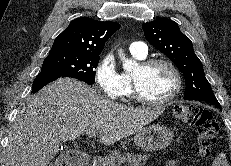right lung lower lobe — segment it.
Listing matches in <instances>:
<instances>
[{"label":"right lung lower lobe","instance_id":"right-lung-lower-lobe-1","mask_svg":"<svg viewBox=\"0 0 231 166\" xmlns=\"http://www.w3.org/2000/svg\"><path fill=\"white\" fill-rule=\"evenodd\" d=\"M59 77L61 76L53 73H39L34 79L33 86H32V93L33 94L36 93L42 87L58 79Z\"/></svg>","mask_w":231,"mask_h":166}]
</instances>
